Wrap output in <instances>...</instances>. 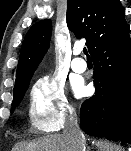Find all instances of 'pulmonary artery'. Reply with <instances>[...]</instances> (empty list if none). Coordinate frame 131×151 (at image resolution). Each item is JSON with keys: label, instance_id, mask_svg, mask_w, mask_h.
<instances>
[{"label": "pulmonary artery", "instance_id": "pulmonary-artery-1", "mask_svg": "<svg viewBox=\"0 0 131 151\" xmlns=\"http://www.w3.org/2000/svg\"><path fill=\"white\" fill-rule=\"evenodd\" d=\"M79 53L80 50H76L75 54L78 55ZM71 68L76 73H83L86 70L87 65L82 58L75 57L71 62Z\"/></svg>", "mask_w": 131, "mask_h": 151}]
</instances>
